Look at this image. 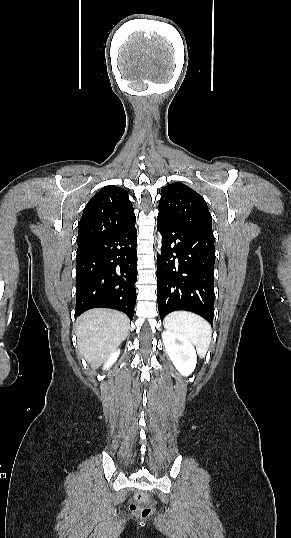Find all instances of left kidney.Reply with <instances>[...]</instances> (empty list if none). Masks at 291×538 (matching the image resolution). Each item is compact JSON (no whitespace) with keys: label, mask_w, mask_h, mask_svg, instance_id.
Returning a JSON list of instances; mask_svg holds the SVG:
<instances>
[{"label":"left kidney","mask_w":291,"mask_h":538,"mask_svg":"<svg viewBox=\"0 0 291 538\" xmlns=\"http://www.w3.org/2000/svg\"><path fill=\"white\" fill-rule=\"evenodd\" d=\"M162 340L176 369L183 376L190 375L197 363V355L192 343L185 336L168 330L163 332Z\"/></svg>","instance_id":"5707ae66"}]
</instances>
